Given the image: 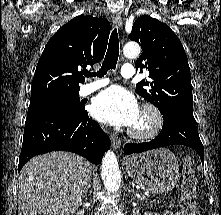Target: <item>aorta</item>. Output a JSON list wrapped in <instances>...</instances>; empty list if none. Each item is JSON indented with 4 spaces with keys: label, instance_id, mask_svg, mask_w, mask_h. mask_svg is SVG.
Masks as SVG:
<instances>
[{
    "label": "aorta",
    "instance_id": "762f6f07",
    "mask_svg": "<svg viewBox=\"0 0 221 215\" xmlns=\"http://www.w3.org/2000/svg\"><path fill=\"white\" fill-rule=\"evenodd\" d=\"M123 53L125 57L134 59L140 55V46L138 43L129 42L124 46ZM101 176L104 186L108 191L116 192L119 190L121 184V174L116 155L113 151L106 152L103 157Z\"/></svg>",
    "mask_w": 221,
    "mask_h": 215
}]
</instances>
